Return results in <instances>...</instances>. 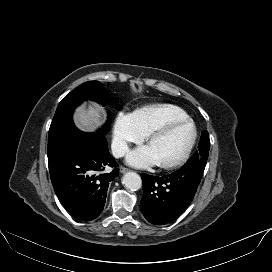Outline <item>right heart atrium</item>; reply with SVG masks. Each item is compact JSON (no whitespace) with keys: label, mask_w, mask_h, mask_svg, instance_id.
Wrapping results in <instances>:
<instances>
[{"label":"right heart atrium","mask_w":272,"mask_h":272,"mask_svg":"<svg viewBox=\"0 0 272 272\" xmlns=\"http://www.w3.org/2000/svg\"><path fill=\"white\" fill-rule=\"evenodd\" d=\"M143 137L135 125L133 114L125 111L116 114L112 134V151L116 157L123 156L130 144L141 142Z\"/></svg>","instance_id":"d8ad5b80"}]
</instances>
